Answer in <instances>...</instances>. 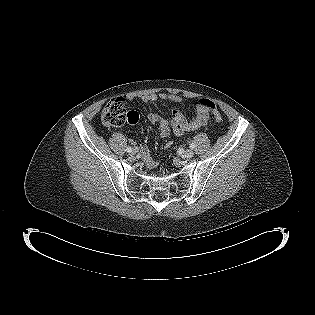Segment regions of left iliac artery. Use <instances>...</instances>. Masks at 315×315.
Returning a JSON list of instances; mask_svg holds the SVG:
<instances>
[{
	"mask_svg": "<svg viewBox=\"0 0 315 315\" xmlns=\"http://www.w3.org/2000/svg\"><path fill=\"white\" fill-rule=\"evenodd\" d=\"M191 149H194L195 148V144L194 143H192V144H190V146H189Z\"/></svg>",
	"mask_w": 315,
	"mask_h": 315,
	"instance_id": "1",
	"label": "left iliac artery"
}]
</instances>
